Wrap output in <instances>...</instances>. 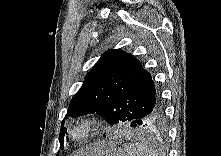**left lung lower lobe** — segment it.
<instances>
[{
	"label": "left lung lower lobe",
	"instance_id": "0a47b994",
	"mask_svg": "<svg viewBox=\"0 0 221 156\" xmlns=\"http://www.w3.org/2000/svg\"><path fill=\"white\" fill-rule=\"evenodd\" d=\"M164 103L160 100V103L154 110H150L146 114L129 121L128 126L139 128V129H149V130H164L166 127L165 120Z\"/></svg>",
	"mask_w": 221,
	"mask_h": 156
}]
</instances>
